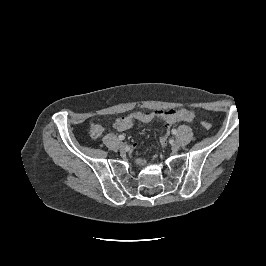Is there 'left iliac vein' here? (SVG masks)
I'll return each mask as SVG.
<instances>
[{"label":"left iliac vein","instance_id":"1","mask_svg":"<svg viewBox=\"0 0 266 266\" xmlns=\"http://www.w3.org/2000/svg\"><path fill=\"white\" fill-rule=\"evenodd\" d=\"M179 148H180V143H179L178 141H174V142L172 143V149H173L174 151H177V150H179Z\"/></svg>","mask_w":266,"mask_h":266}]
</instances>
